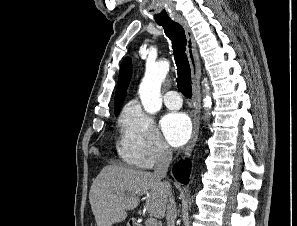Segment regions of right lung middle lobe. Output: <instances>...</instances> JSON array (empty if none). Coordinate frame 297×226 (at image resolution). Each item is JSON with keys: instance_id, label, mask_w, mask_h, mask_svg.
I'll list each match as a JSON object with an SVG mask.
<instances>
[{"instance_id": "dd1d6c3e", "label": "right lung middle lobe", "mask_w": 297, "mask_h": 226, "mask_svg": "<svg viewBox=\"0 0 297 226\" xmlns=\"http://www.w3.org/2000/svg\"><path fill=\"white\" fill-rule=\"evenodd\" d=\"M120 109H121V107H118L115 109V115H117L119 113Z\"/></svg>"}]
</instances>
